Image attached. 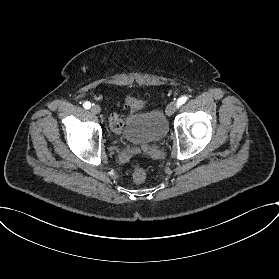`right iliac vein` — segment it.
Here are the masks:
<instances>
[{
	"label": "right iliac vein",
	"mask_w": 279,
	"mask_h": 279,
	"mask_svg": "<svg viewBox=\"0 0 279 279\" xmlns=\"http://www.w3.org/2000/svg\"><path fill=\"white\" fill-rule=\"evenodd\" d=\"M90 111L94 115L99 114L101 112V107L99 105H93Z\"/></svg>",
	"instance_id": "obj_1"
}]
</instances>
